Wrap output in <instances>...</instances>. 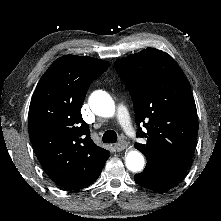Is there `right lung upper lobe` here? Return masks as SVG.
Here are the masks:
<instances>
[{
  "label": "right lung upper lobe",
  "mask_w": 221,
  "mask_h": 221,
  "mask_svg": "<svg viewBox=\"0 0 221 221\" xmlns=\"http://www.w3.org/2000/svg\"><path fill=\"white\" fill-rule=\"evenodd\" d=\"M109 63L66 55L41 77L31 99L28 130L35 153L50 178L67 190L94 183L110 156L90 137L80 110L89 85Z\"/></svg>",
  "instance_id": "obj_1"
}]
</instances>
